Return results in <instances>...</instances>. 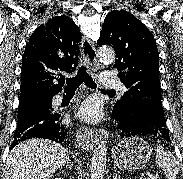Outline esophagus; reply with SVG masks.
<instances>
[{
  "label": "esophagus",
  "instance_id": "1",
  "mask_svg": "<svg viewBox=\"0 0 183 179\" xmlns=\"http://www.w3.org/2000/svg\"><path fill=\"white\" fill-rule=\"evenodd\" d=\"M82 46V54L87 63L90 65V67H98L99 66V60L96 53V49L94 46V43L86 36L82 37L81 41ZM103 135L108 136L107 132L101 129H91L87 128L84 125H80L78 131H77V141L78 143L87 148L92 149L95 144L99 141V138H101Z\"/></svg>",
  "mask_w": 183,
  "mask_h": 179
}]
</instances>
